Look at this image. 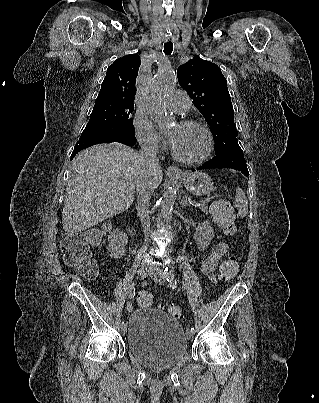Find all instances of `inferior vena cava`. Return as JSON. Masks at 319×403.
<instances>
[{"label":"inferior vena cava","mask_w":319,"mask_h":403,"mask_svg":"<svg viewBox=\"0 0 319 403\" xmlns=\"http://www.w3.org/2000/svg\"><path fill=\"white\" fill-rule=\"evenodd\" d=\"M141 161L146 167V175L137 188L138 210L141 214L144 233L147 234L150 227L149 206L151 194L155 188L152 173L159 167L157 150L153 142H141Z\"/></svg>","instance_id":"inferior-vena-cava-1"}]
</instances>
